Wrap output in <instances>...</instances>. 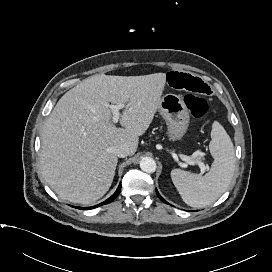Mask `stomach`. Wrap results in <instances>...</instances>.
I'll use <instances>...</instances> for the list:
<instances>
[{
	"mask_svg": "<svg viewBox=\"0 0 272 272\" xmlns=\"http://www.w3.org/2000/svg\"><path fill=\"white\" fill-rule=\"evenodd\" d=\"M158 110L167 123L169 138L172 141L180 140L188 129L190 119L181 96L172 93L164 95Z\"/></svg>",
	"mask_w": 272,
	"mask_h": 272,
	"instance_id": "1",
	"label": "stomach"
}]
</instances>
